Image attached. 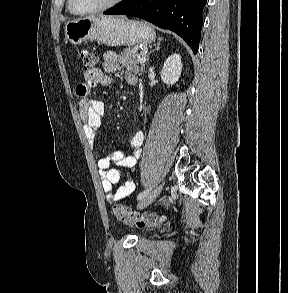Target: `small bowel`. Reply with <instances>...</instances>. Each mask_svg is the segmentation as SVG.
Here are the masks:
<instances>
[{
  "label": "small bowel",
  "mask_w": 288,
  "mask_h": 293,
  "mask_svg": "<svg viewBox=\"0 0 288 293\" xmlns=\"http://www.w3.org/2000/svg\"><path fill=\"white\" fill-rule=\"evenodd\" d=\"M102 67V70L95 69L90 73H85L84 81L76 87V94L80 98L78 105L84 134L91 145L94 144L98 130L102 125L105 116V104L100 100L92 99L90 93L96 86L108 87L111 84L112 80L108 73L119 70L117 56L114 52H106L103 55ZM125 80L132 85L137 83L136 77L130 72L125 73ZM143 141L144 134L140 131L136 132L130 141L131 154L116 150L110 155L99 159L98 168L101 185L109 202L119 201L134 191L135 183L133 176L136 163L142 153ZM112 165L122 168L123 171L112 167ZM122 176L125 178V181L113 192L114 185L119 183Z\"/></svg>",
  "instance_id": "c3829d8e"
}]
</instances>
